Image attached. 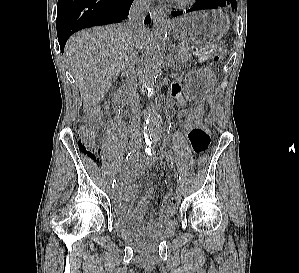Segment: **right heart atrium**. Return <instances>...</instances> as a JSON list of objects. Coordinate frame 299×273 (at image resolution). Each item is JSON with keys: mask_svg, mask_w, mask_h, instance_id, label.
I'll return each mask as SVG.
<instances>
[{"mask_svg": "<svg viewBox=\"0 0 299 273\" xmlns=\"http://www.w3.org/2000/svg\"><path fill=\"white\" fill-rule=\"evenodd\" d=\"M139 1H141V2H146V0H139Z\"/></svg>", "mask_w": 299, "mask_h": 273, "instance_id": "obj_1", "label": "right heart atrium"}]
</instances>
